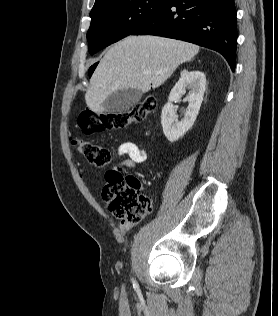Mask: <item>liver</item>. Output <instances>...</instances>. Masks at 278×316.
I'll use <instances>...</instances> for the list:
<instances>
[{
    "mask_svg": "<svg viewBox=\"0 0 278 316\" xmlns=\"http://www.w3.org/2000/svg\"><path fill=\"white\" fill-rule=\"evenodd\" d=\"M199 52L192 43L153 35L128 36L113 45L100 60L85 94L87 106L105 112L103 103L115 91L142 93L162 85L176 68ZM148 71L149 73H144Z\"/></svg>",
    "mask_w": 278,
    "mask_h": 316,
    "instance_id": "6515ba94",
    "label": "liver"
}]
</instances>
